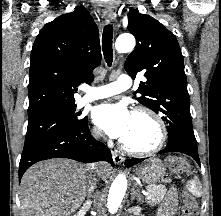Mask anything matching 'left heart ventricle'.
I'll list each match as a JSON object with an SVG mask.
<instances>
[{"mask_svg":"<svg viewBox=\"0 0 221 216\" xmlns=\"http://www.w3.org/2000/svg\"><path fill=\"white\" fill-rule=\"evenodd\" d=\"M158 139V129L155 122L146 115L133 114L128 133L122 140L128 146L145 149L152 147Z\"/></svg>","mask_w":221,"mask_h":216,"instance_id":"left-heart-ventricle-1","label":"left heart ventricle"}]
</instances>
